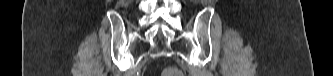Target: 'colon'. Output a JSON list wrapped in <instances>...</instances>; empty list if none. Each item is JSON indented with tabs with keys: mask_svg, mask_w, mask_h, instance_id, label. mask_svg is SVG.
Segmentation results:
<instances>
[{
	"mask_svg": "<svg viewBox=\"0 0 333 76\" xmlns=\"http://www.w3.org/2000/svg\"><path fill=\"white\" fill-rule=\"evenodd\" d=\"M164 76H183L182 72L175 68V67H170L168 69L165 70V72L163 73Z\"/></svg>",
	"mask_w": 333,
	"mask_h": 76,
	"instance_id": "1",
	"label": "colon"
}]
</instances>
